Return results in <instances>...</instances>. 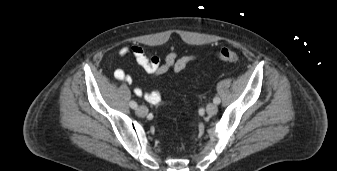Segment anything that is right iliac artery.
I'll return each mask as SVG.
<instances>
[{
	"label": "right iliac artery",
	"instance_id": "1",
	"mask_svg": "<svg viewBox=\"0 0 337 171\" xmlns=\"http://www.w3.org/2000/svg\"><path fill=\"white\" fill-rule=\"evenodd\" d=\"M129 105H130V107H131L132 109H136V108L138 107V105H137V103H136L135 101H131V102L129 103Z\"/></svg>",
	"mask_w": 337,
	"mask_h": 171
}]
</instances>
